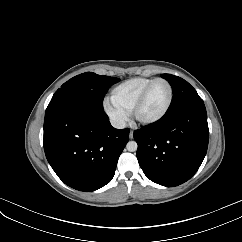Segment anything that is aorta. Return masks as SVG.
I'll return each mask as SVG.
<instances>
[{
  "instance_id": "obj_1",
  "label": "aorta",
  "mask_w": 242,
  "mask_h": 242,
  "mask_svg": "<svg viewBox=\"0 0 242 242\" xmlns=\"http://www.w3.org/2000/svg\"><path fill=\"white\" fill-rule=\"evenodd\" d=\"M137 147H138V145L135 141H129L126 145L127 150L130 152L136 151Z\"/></svg>"
}]
</instances>
